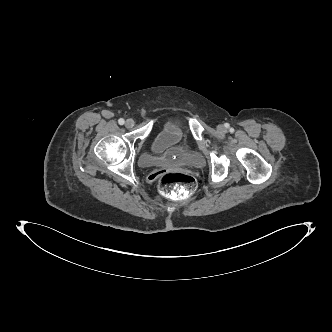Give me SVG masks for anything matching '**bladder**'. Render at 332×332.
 <instances>
[{
	"mask_svg": "<svg viewBox=\"0 0 332 332\" xmlns=\"http://www.w3.org/2000/svg\"><path fill=\"white\" fill-rule=\"evenodd\" d=\"M150 152L142 153L138 164L151 167H200L202 158L188 142L182 127L167 123L154 137Z\"/></svg>",
	"mask_w": 332,
	"mask_h": 332,
	"instance_id": "31cf9c89",
	"label": "bladder"
}]
</instances>
